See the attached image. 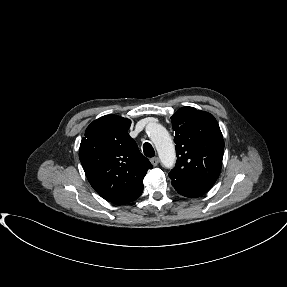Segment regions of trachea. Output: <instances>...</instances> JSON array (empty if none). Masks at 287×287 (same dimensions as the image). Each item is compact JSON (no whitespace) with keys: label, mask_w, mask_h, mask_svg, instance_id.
I'll use <instances>...</instances> for the list:
<instances>
[{"label":"trachea","mask_w":287,"mask_h":287,"mask_svg":"<svg viewBox=\"0 0 287 287\" xmlns=\"http://www.w3.org/2000/svg\"><path fill=\"white\" fill-rule=\"evenodd\" d=\"M143 152H144L146 157H153L155 155V151H154L152 145L148 142L144 143Z\"/></svg>","instance_id":"obj_1"}]
</instances>
